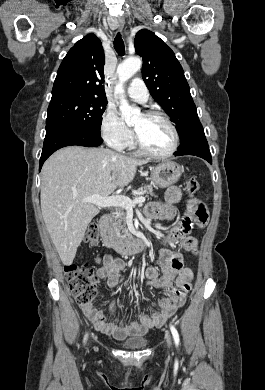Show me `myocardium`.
Returning <instances> with one entry per match:
<instances>
[{
  "instance_id": "myocardium-1",
  "label": "myocardium",
  "mask_w": 265,
  "mask_h": 390,
  "mask_svg": "<svg viewBox=\"0 0 265 390\" xmlns=\"http://www.w3.org/2000/svg\"><path fill=\"white\" fill-rule=\"evenodd\" d=\"M143 115L147 116V117H155V118L161 119L171 130V133L173 136V142H172V145L169 148V150H167L166 152L155 153V152L149 150L145 146V144L142 142L138 133L134 130V140H135V144H136L138 150L141 153H143L144 155L151 157V158H155V159H167V158L171 157L177 151V149L179 147V142H180L179 133H178L176 126L169 119V117L167 115H165L164 113H162L160 111L149 110V111H146Z\"/></svg>"
}]
</instances>
